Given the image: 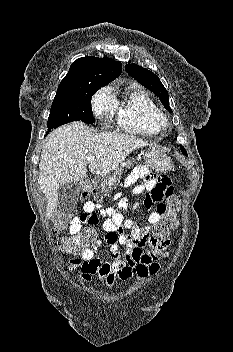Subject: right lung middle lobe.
<instances>
[{"label":"right lung middle lobe","mask_w":233,"mask_h":352,"mask_svg":"<svg viewBox=\"0 0 233 352\" xmlns=\"http://www.w3.org/2000/svg\"><path fill=\"white\" fill-rule=\"evenodd\" d=\"M101 86L88 85L70 93H56L47 122L48 132L63 124L81 120L93 123L91 97Z\"/></svg>","instance_id":"1"}]
</instances>
